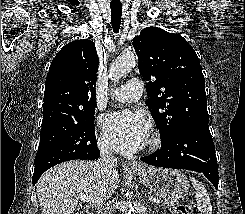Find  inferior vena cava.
<instances>
[{"label": "inferior vena cava", "instance_id": "inferior-vena-cava-1", "mask_svg": "<svg viewBox=\"0 0 245 214\" xmlns=\"http://www.w3.org/2000/svg\"><path fill=\"white\" fill-rule=\"evenodd\" d=\"M98 147L100 150V158L96 162V167L102 171H112L114 170L115 163L117 159L109 151L103 142H98Z\"/></svg>", "mask_w": 245, "mask_h": 214}]
</instances>
